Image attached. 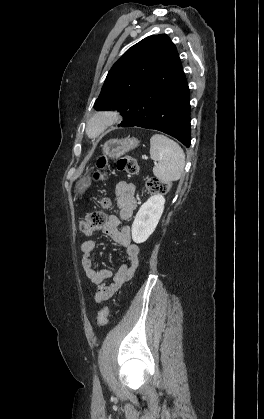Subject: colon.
<instances>
[{
  "mask_svg": "<svg viewBox=\"0 0 264 419\" xmlns=\"http://www.w3.org/2000/svg\"><path fill=\"white\" fill-rule=\"evenodd\" d=\"M115 165L120 172L127 174H136L138 172V163L137 161L129 156H120L115 158ZM98 171L94 174L96 180H103L107 178L105 173V168L107 166V159L101 157L97 163ZM147 189L152 194H164L169 188L170 184L168 182L150 178L147 181ZM100 205L102 208H107L109 202L106 199L101 200ZM106 222V215L103 210H96L87 213L80 222V228L83 233L86 235H92L95 232L101 230ZM109 310L107 307H103L98 313V324L100 327H104L108 323Z\"/></svg>",
  "mask_w": 264,
  "mask_h": 419,
  "instance_id": "1",
  "label": "colon"
}]
</instances>
